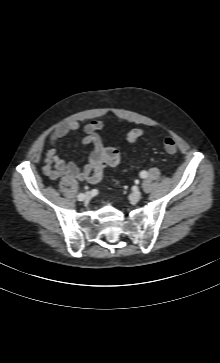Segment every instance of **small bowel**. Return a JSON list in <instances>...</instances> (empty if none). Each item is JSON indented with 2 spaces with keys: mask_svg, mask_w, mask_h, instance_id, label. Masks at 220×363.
<instances>
[{
  "mask_svg": "<svg viewBox=\"0 0 220 363\" xmlns=\"http://www.w3.org/2000/svg\"><path fill=\"white\" fill-rule=\"evenodd\" d=\"M103 127L102 121H91L84 127L86 136L84 144H92L93 150L89 155L87 164L80 169L74 162H66L57 155V141L71 132L78 130L79 123L69 121L57 126L50 135L44 153L43 173L50 180H57L60 176H68L80 181L89 180L92 172L97 168H104L106 165L103 160L104 146L98 130Z\"/></svg>",
  "mask_w": 220,
  "mask_h": 363,
  "instance_id": "obj_1",
  "label": "small bowel"
}]
</instances>
